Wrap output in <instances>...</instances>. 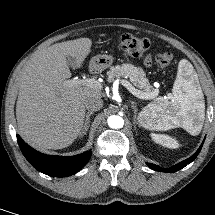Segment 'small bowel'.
<instances>
[{"label":"small bowel","mask_w":215,"mask_h":215,"mask_svg":"<svg viewBox=\"0 0 215 215\" xmlns=\"http://www.w3.org/2000/svg\"><path fill=\"white\" fill-rule=\"evenodd\" d=\"M151 63V57L148 56L146 59H145V64L146 65H149Z\"/></svg>","instance_id":"1"}]
</instances>
